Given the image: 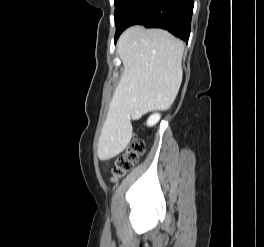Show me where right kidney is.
Segmentation results:
<instances>
[{
  "label": "right kidney",
  "mask_w": 264,
  "mask_h": 247,
  "mask_svg": "<svg viewBox=\"0 0 264 247\" xmlns=\"http://www.w3.org/2000/svg\"><path fill=\"white\" fill-rule=\"evenodd\" d=\"M160 120V114L156 113L151 115L147 120L148 126H154L156 123H158Z\"/></svg>",
  "instance_id": "ca27d5eb"
}]
</instances>
